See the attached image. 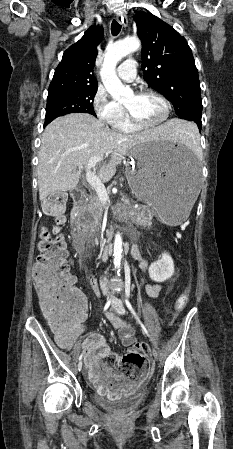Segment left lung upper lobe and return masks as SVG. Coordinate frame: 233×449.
<instances>
[{
  "label": "left lung upper lobe",
  "mask_w": 233,
  "mask_h": 449,
  "mask_svg": "<svg viewBox=\"0 0 233 449\" xmlns=\"http://www.w3.org/2000/svg\"><path fill=\"white\" fill-rule=\"evenodd\" d=\"M134 20L142 41L144 80L172 102L180 118L201 128L200 82L188 43L150 12H138Z\"/></svg>",
  "instance_id": "5c2ea615"
}]
</instances>
